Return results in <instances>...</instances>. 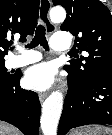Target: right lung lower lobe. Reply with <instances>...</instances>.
Masks as SVG:
<instances>
[{"instance_id":"obj_1","label":"right lung lower lobe","mask_w":112,"mask_h":135,"mask_svg":"<svg viewBox=\"0 0 112 135\" xmlns=\"http://www.w3.org/2000/svg\"><path fill=\"white\" fill-rule=\"evenodd\" d=\"M21 74L0 87V120L19 128L25 135H38L41 105L37 93L20 88Z\"/></svg>"}]
</instances>
